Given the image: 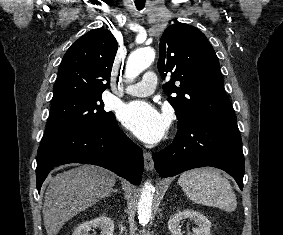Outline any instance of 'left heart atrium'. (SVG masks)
Listing matches in <instances>:
<instances>
[{
    "mask_svg": "<svg viewBox=\"0 0 283 235\" xmlns=\"http://www.w3.org/2000/svg\"><path fill=\"white\" fill-rule=\"evenodd\" d=\"M119 119L143 142L154 144L166 133L169 121L153 105L145 101H133L119 111Z\"/></svg>",
    "mask_w": 283,
    "mask_h": 235,
    "instance_id": "obj_1",
    "label": "left heart atrium"
}]
</instances>
